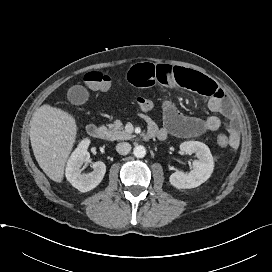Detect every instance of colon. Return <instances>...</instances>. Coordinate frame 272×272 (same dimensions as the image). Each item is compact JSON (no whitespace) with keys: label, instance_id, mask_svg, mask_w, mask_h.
<instances>
[{"label":"colon","instance_id":"1","mask_svg":"<svg viewBox=\"0 0 272 272\" xmlns=\"http://www.w3.org/2000/svg\"><path fill=\"white\" fill-rule=\"evenodd\" d=\"M85 85L91 90H106L110 86L111 79L108 75L98 71L88 72L84 76ZM138 107L143 111H151L155 107V103L144 97H139L136 100ZM217 144L220 147L229 146V139L225 135H219L217 138Z\"/></svg>","mask_w":272,"mask_h":272}]
</instances>
